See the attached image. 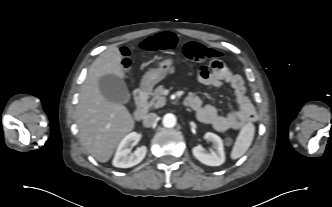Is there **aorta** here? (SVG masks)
<instances>
[{"mask_svg":"<svg viewBox=\"0 0 332 207\" xmlns=\"http://www.w3.org/2000/svg\"><path fill=\"white\" fill-rule=\"evenodd\" d=\"M162 123H163L164 127H166V128L174 127L176 125L175 115H173L171 113L164 115Z\"/></svg>","mask_w":332,"mask_h":207,"instance_id":"aorta-1","label":"aorta"}]
</instances>
